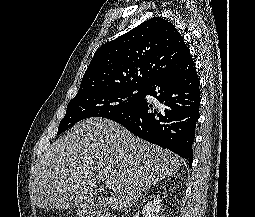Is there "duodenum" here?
Here are the masks:
<instances>
[{"instance_id":"1","label":"duodenum","mask_w":255,"mask_h":217,"mask_svg":"<svg viewBox=\"0 0 255 217\" xmlns=\"http://www.w3.org/2000/svg\"><path fill=\"white\" fill-rule=\"evenodd\" d=\"M96 217H120L116 214H111V213H100V214H97Z\"/></svg>"}]
</instances>
